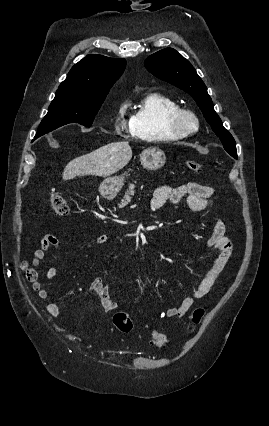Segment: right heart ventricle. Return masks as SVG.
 <instances>
[{
  "label": "right heart ventricle",
  "instance_id": "right-heart-ventricle-1",
  "mask_svg": "<svg viewBox=\"0 0 269 426\" xmlns=\"http://www.w3.org/2000/svg\"><path fill=\"white\" fill-rule=\"evenodd\" d=\"M178 107L175 100L161 93L144 95L131 116L132 134L146 142L180 139L167 125L168 113Z\"/></svg>",
  "mask_w": 269,
  "mask_h": 426
}]
</instances>
